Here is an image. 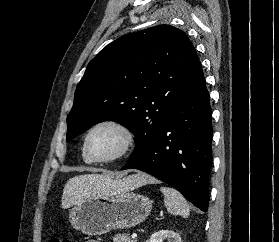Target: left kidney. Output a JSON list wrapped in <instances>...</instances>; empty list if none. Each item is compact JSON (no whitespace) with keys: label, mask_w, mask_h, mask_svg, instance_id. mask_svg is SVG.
I'll return each mask as SVG.
<instances>
[{"label":"left kidney","mask_w":279,"mask_h":242,"mask_svg":"<svg viewBox=\"0 0 279 242\" xmlns=\"http://www.w3.org/2000/svg\"><path fill=\"white\" fill-rule=\"evenodd\" d=\"M166 238L173 239V242H182L178 233L169 230H161L153 233L150 237V240L146 242H163V240Z\"/></svg>","instance_id":"left-kidney-1"}]
</instances>
